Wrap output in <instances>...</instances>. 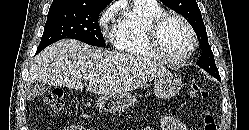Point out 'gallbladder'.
Returning <instances> with one entry per match:
<instances>
[{
	"label": "gallbladder",
	"mask_w": 249,
	"mask_h": 130,
	"mask_svg": "<svg viewBox=\"0 0 249 130\" xmlns=\"http://www.w3.org/2000/svg\"><path fill=\"white\" fill-rule=\"evenodd\" d=\"M49 91L46 84L42 82L33 83L26 92V99L28 101H33L38 97L44 96Z\"/></svg>",
	"instance_id": "1"
}]
</instances>
